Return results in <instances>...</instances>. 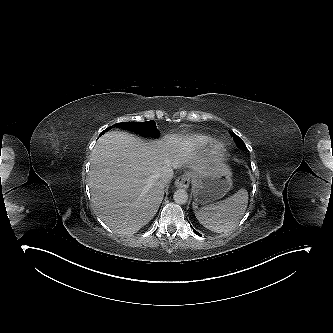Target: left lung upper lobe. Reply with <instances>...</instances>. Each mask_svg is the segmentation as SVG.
I'll return each instance as SVG.
<instances>
[{"instance_id": "5c2ea615", "label": "left lung upper lobe", "mask_w": 333, "mask_h": 333, "mask_svg": "<svg viewBox=\"0 0 333 333\" xmlns=\"http://www.w3.org/2000/svg\"><path fill=\"white\" fill-rule=\"evenodd\" d=\"M231 134L233 135L234 140L236 141L239 148L241 150H244L246 147H245V144H244L243 140L241 138H239L235 133L231 132Z\"/></svg>"}]
</instances>
